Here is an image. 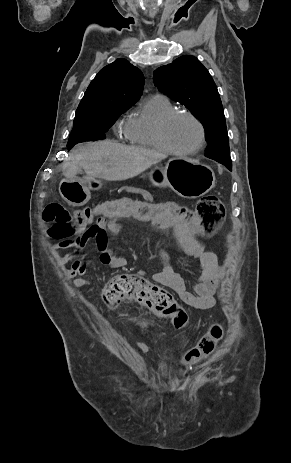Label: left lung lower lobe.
Listing matches in <instances>:
<instances>
[{
  "label": "left lung lower lobe",
  "instance_id": "0a47b994",
  "mask_svg": "<svg viewBox=\"0 0 291 463\" xmlns=\"http://www.w3.org/2000/svg\"><path fill=\"white\" fill-rule=\"evenodd\" d=\"M215 160V159H213ZM217 162L225 165L229 170H232V162L231 161H226V160H221V159H216Z\"/></svg>",
  "mask_w": 291,
  "mask_h": 463
}]
</instances>
